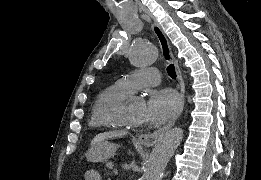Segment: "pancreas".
I'll list each match as a JSON object with an SVG mask.
<instances>
[{
    "instance_id": "1",
    "label": "pancreas",
    "mask_w": 261,
    "mask_h": 180,
    "mask_svg": "<svg viewBox=\"0 0 261 180\" xmlns=\"http://www.w3.org/2000/svg\"><path fill=\"white\" fill-rule=\"evenodd\" d=\"M110 163H111L110 159H105V162L103 163V169L109 170L110 169Z\"/></svg>"
}]
</instances>
